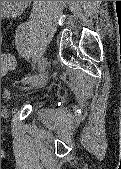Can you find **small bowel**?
Masks as SVG:
<instances>
[{"label": "small bowel", "mask_w": 121, "mask_h": 169, "mask_svg": "<svg viewBox=\"0 0 121 169\" xmlns=\"http://www.w3.org/2000/svg\"><path fill=\"white\" fill-rule=\"evenodd\" d=\"M2 14L5 17H16L27 6L29 1H3Z\"/></svg>", "instance_id": "small-bowel-1"}]
</instances>
